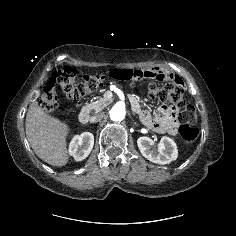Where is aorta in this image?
<instances>
[{
	"label": "aorta",
	"mask_w": 236,
	"mask_h": 236,
	"mask_svg": "<svg viewBox=\"0 0 236 236\" xmlns=\"http://www.w3.org/2000/svg\"><path fill=\"white\" fill-rule=\"evenodd\" d=\"M109 115L112 121L121 122L126 115L125 107L121 104H116L111 108Z\"/></svg>",
	"instance_id": "762f6f07"
}]
</instances>
